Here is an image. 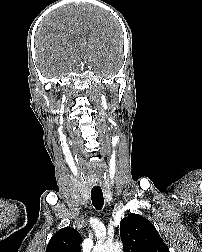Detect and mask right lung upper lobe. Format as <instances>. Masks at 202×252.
Returning <instances> with one entry per match:
<instances>
[{"label": "right lung upper lobe", "mask_w": 202, "mask_h": 252, "mask_svg": "<svg viewBox=\"0 0 202 252\" xmlns=\"http://www.w3.org/2000/svg\"><path fill=\"white\" fill-rule=\"evenodd\" d=\"M81 235L71 227L56 232L50 239L46 252H81Z\"/></svg>", "instance_id": "right-lung-upper-lobe-1"}]
</instances>
